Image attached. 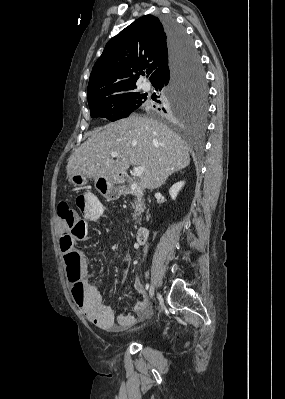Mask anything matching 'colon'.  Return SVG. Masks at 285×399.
I'll return each instance as SVG.
<instances>
[{
    "instance_id": "1",
    "label": "colon",
    "mask_w": 285,
    "mask_h": 399,
    "mask_svg": "<svg viewBox=\"0 0 285 399\" xmlns=\"http://www.w3.org/2000/svg\"><path fill=\"white\" fill-rule=\"evenodd\" d=\"M104 195H107L104 193ZM87 202V196L78 195L72 206L68 202L58 205V216L60 222V246L64 259L69 263H74L78 259L76 244L83 238L81 226L78 219L77 209H83ZM68 279L75 289L76 299L84 293V285L79 279V272L73 270L69 272Z\"/></svg>"
}]
</instances>
